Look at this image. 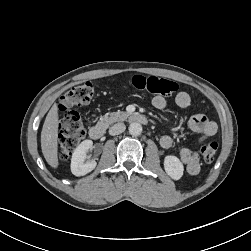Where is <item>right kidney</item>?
<instances>
[{
    "label": "right kidney",
    "mask_w": 251,
    "mask_h": 251,
    "mask_svg": "<svg viewBox=\"0 0 251 251\" xmlns=\"http://www.w3.org/2000/svg\"><path fill=\"white\" fill-rule=\"evenodd\" d=\"M91 140H84L74 150L71 158V172L75 176H84L95 169L97 163L92 160L84 163L86 159V152L92 147Z\"/></svg>",
    "instance_id": "1"
}]
</instances>
